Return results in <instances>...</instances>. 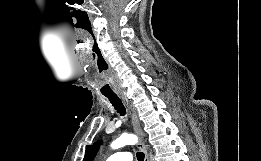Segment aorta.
Segmentation results:
<instances>
[{"label": "aorta", "mask_w": 261, "mask_h": 161, "mask_svg": "<svg viewBox=\"0 0 261 161\" xmlns=\"http://www.w3.org/2000/svg\"><path fill=\"white\" fill-rule=\"evenodd\" d=\"M137 142V137L133 134H122L119 138L112 142L111 148L118 149L125 145H134Z\"/></svg>", "instance_id": "aorta-1"}]
</instances>
